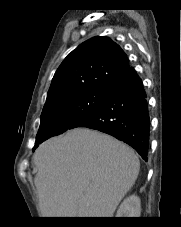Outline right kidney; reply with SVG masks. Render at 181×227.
Instances as JSON below:
<instances>
[{"instance_id": "obj_1", "label": "right kidney", "mask_w": 181, "mask_h": 227, "mask_svg": "<svg viewBox=\"0 0 181 227\" xmlns=\"http://www.w3.org/2000/svg\"><path fill=\"white\" fill-rule=\"evenodd\" d=\"M140 213V198L133 194L123 200L117 210L116 217H140Z\"/></svg>"}]
</instances>
